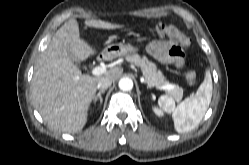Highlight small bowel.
Segmentation results:
<instances>
[{
  "label": "small bowel",
  "mask_w": 249,
  "mask_h": 165,
  "mask_svg": "<svg viewBox=\"0 0 249 165\" xmlns=\"http://www.w3.org/2000/svg\"><path fill=\"white\" fill-rule=\"evenodd\" d=\"M147 51L161 64H172L177 68L184 65V56L174 40H156L147 46Z\"/></svg>",
  "instance_id": "small-bowel-1"
}]
</instances>
